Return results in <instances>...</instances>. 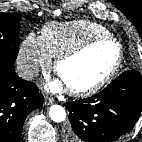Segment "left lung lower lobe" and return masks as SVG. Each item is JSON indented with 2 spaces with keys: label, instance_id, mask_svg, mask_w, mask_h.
Listing matches in <instances>:
<instances>
[{
  "label": "left lung lower lobe",
  "instance_id": "1",
  "mask_svg": "<svg viewBox=\"0 0 142 142\" xmlns=\"http://www.w3.org/2000/svg\"><path fill=\"white\" fill-rule=\"evenodd\" d=\"M65 105L70 121L66 142L120 141L140 116L142 76L136 70L125 71L98 94Z\"/></svg>",
  "mask_w": 142,
  "mask_h": 142
}]
</instances>
